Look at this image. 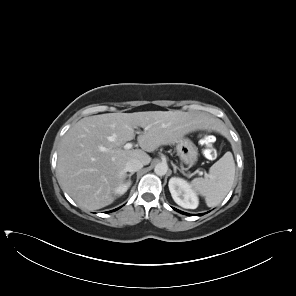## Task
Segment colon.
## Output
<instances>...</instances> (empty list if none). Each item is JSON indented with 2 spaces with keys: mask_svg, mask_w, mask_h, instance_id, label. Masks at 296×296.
<instances>
[{
  "mask_svg": "<svg viewBox=\"0 0 296 296\" xmlns=\"http://www.w3.org/2000/svg\"><path fill=\"white\" fill-rule=\"evenodd\" d=\"M204 140L206 144V148L204 150L205 156L209 159L214 158L216 156V150L213 146V141L211 139V136L204 135Z\"/></svg>",
  "mask_w": 296,
  "mask_h": 296,
  "instance_id": "obj_1",
  "label": "colon"
}]
</instances>
